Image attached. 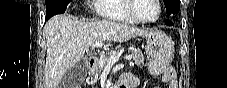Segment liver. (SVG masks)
<instances>
[{"label":"liver","mask_w":227,"mask_h":88,"mask_svg":"<svg viewBox=\"0 0 227 88\" xmlns=\"http://www.w3.org/2000/svg\"><path fill=\"white\" fill-rule=\"evenodd\" d=\"M149 33L115 21L81 22L68 14L51 18L44 27L47 43L45 88H57L65 73L84 58L94 43L105 40L126 42Z\"/></svg>","instance_id":"liver-1"}]
</instances>
